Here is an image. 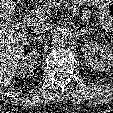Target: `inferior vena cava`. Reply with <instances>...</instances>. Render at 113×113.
I'll return each instance as SVG.
<instances>
[{"instance_id": "602c4592", "label": "inferior vena cava", "mask_w": 113, "mask_h": 113, "mask_svg": "<svg viewBox=\"0 0 113 113\" xmlns=\"http://www.w3.org/2000/svg\"><path fill=\"white\" fill-rule=\"evenodd\" d=\"M50 28H51V25L48 24V23H45V24L37 26L33 30V32L36 33V34H43V33L47 32Z\"/></svg>"}]
</instances>
